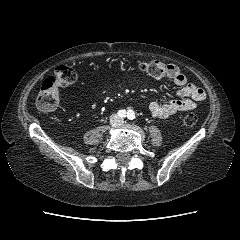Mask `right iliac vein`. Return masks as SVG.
<instances>
[{
	"mask_svg": "<svg viewBox=\"0 0 240 240\" xmlns=\"http://www.w3.org/2000/svg\"><path fill=\"white\" fill-rule=\"evenodd\" d=\"M111 124L114 126V125H116V119H113L112 121H111Z\"/></svg>",
	"mask_w": 240,
	"mask_h": 240,
	"instance_id": "obj_1",
	"label": "right iliac vein"
}]
</instances>
